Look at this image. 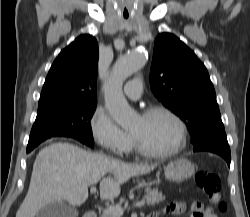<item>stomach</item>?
Returning a JSON list of instances; mask_svg holds the SVG:
<instances>
[{
	"label": "stomach",
	"instance_id": "stomach-1",
	"mask_svg": "<svg viewBox=\"0 0 250 217\" xmlns=\"http://www.w3.org/2000/svg\"><path fill=\"white\" fill-rule=\"evenodd\" d=\"M164 172L166 179L173 182H183L194 174L195 168L189 160L179 159L169 163Z\"/></svg>",
	"mask_w": 250,
	"mask_h": 217
}]
</instances>
